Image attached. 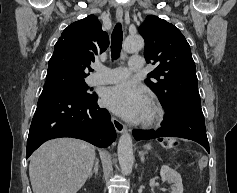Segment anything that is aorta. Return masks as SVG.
I'll list each match as a JSON object with an SVG mask.
<instances>
[{"label":"aorta","instance_id":"aorta-1","mask_svg":"<svg viewBox=\"0 0 237 193\" xmlns=\"http://www.w3.org/2000/svg\"><path fill=\"white\" fill-rule=\"evenodd\" d=\"M144 46L143 38L138 34L129 35L126 37L123 49L127 53H135L141 50ZM118 160L121 172L128 175L132 172L134 163L132 137L128 132H124L118 142Z\"/></svg>","mask_w":237,"mask_h":193}]
</instances>
